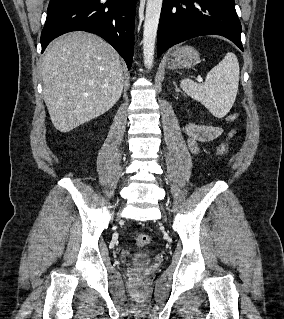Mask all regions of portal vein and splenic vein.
<instances>
[{"label": "portal vein and splenic vein", "instance_id": "obj_1", "mask_svg": "<svg viewBox=\"0 0 284 319\" xmlns=\"http://www.w3.org/2000/svg\"><path fill=\"white\" fill-rule=\"evenodd\" d=\"M197 81L202 82L203 81L202 77H197Z\"/></svg>", "mask_w": 284, "mask_h": 319}]
</instances>
